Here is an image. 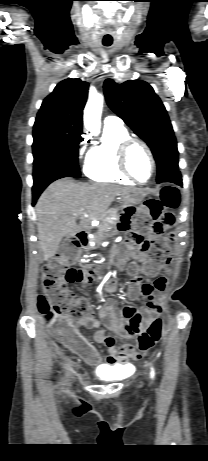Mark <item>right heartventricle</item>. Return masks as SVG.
I'll return each mask as SVG.
<instances>
[{"instance_id":"obj_1","label":"right heart ventricle","mask_w":208,"mask_h":461,"mask_svg":"<svg viewBox=\"0 0 208 461\" xmlns=\"http://www.w3.org/2000/svg\"><path fill=\"white\" fill-rule=\"evenodd\" d=\"M129 137L123 126H105L101 141L87 152L84 163L85 175L97 182L131 184L133 180L121 172L117 163L118 147Z\"/></svg>"}]
</instances>
